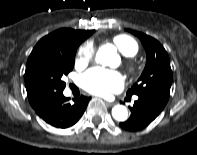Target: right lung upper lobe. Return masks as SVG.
Instances as JSON below:
<instances>
[{
  "label": "right lung upper lobe",
  "mask_w": 197,
  "mask_h": 155,
  "mask_svg": "<svg viewBox=\"0 0 197 155\" xmlns=\"http://www.w3.org/2000/svg\"><path fill=\"white\" fill-rule=\"evenodd\" d=\"M94 31L93 30H74L69 28H62L56 30L49 35L43 37L39 42L44 41H61L65 43H78L83 42ZM31 106L36 112H39L49 101H33L29 100Z\"/></svg>",
  "instance_id": "right-lung-upper-lobe-1"
}]
</instances>
